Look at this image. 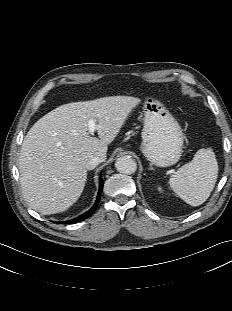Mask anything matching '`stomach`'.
<instances>
[{"mask_svg": "<svg viewBox=\"0 0 232 311\" xmlns=\"http://www.w3.org/2000/svg\"><path fill=\"white\" fill-rule=\"evenodd\" d=\"M144 124L141 151L155 166L168 167L177 163L183 152L184 135L179 123L165 106L154 98L143 105Z\"/></svg>", "mask_w": 232, "mask_h": 311, "instance_id": "stomach-1", "label": "stomach"}]
</instances>
